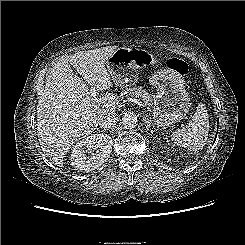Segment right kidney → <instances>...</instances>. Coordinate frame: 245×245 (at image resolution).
Listing matches in <instances>:
<instances>
[{"label": "right kidney", "mask_w": 245, "mask_h": 245, "mask_svg": "<svg viewBox=\"0 0 245 245\" xmlns=\"http://www.w3.org/2000/svg\"><path fill=\"white\" fill-rule=\"evenodd\" d=\"M112 146V138L108 135L93 134L86 137L73 147L71 165L86 172L94 170L108 160Z\"/></svg>", "instance_id": "right-kidney-1"}]
</instances>
